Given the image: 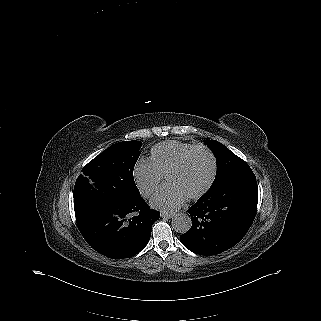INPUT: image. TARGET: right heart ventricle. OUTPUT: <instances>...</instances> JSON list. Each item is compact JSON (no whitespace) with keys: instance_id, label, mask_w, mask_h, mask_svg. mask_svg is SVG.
Masks as SVG:
<instances>
[{"instance_id":"right-heart-ventricle-1","label":"right heart ventricle","mask_w":321,"mask_h":321,"mask_svg":"<svg viewBox=\"0 0 321 321\" xmlns=\"http://www.w3.org/2000/svg\"><path fill=\"white\" fill-rule=\"evenodd\" d=\"M196 147L195 144L178 140L159 143L151 150L150 162L160 176H167Z\"/></svg>"}]
</instances>
